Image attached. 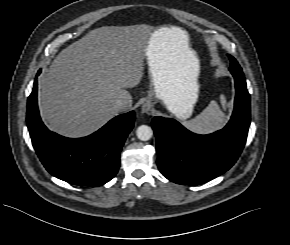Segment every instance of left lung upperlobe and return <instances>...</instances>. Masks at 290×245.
<instances>
[{"label": "left lung upper lobe", "instance_id": "1", "mask_svg": "<svg viewBox=\"0 0 290 245\" xmlns=\"http://www.w3.org/2000/svg\"><path fill=\"white\" fill-rule=\"evenodd\" d=\"M229 59H230L231 65H238V62L231 55H229Z\"/></svg>", "mask_w": 290, "mask_h": 245}]
</instances>
